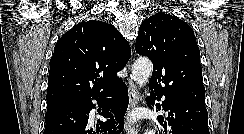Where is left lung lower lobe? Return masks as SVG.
Segmentation results:
<instances>
[{
	"mask_svg": "<svg viewBox=\"0 0 244 134\" xmlns=\"http://www.w3.org/2000/svg\"><path fill=\"white\" fill-rule=\"evenodd\" d=\"M151 87V86H150ZM152 88V87H151ZM164 94L153 90L148 102L154 105ZM163 109L169 110L167 121L158 116L160 124L170 134H210L208 129V113L204 103L189 99L164 95Z\"/></svg>",
	"mask_w": 244,
	"mask_h": 134,
	"instance_id": "1",
	"label": "left lung lower lobe"
}]
</instances>
